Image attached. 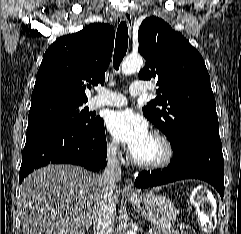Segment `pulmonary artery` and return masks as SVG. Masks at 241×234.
Masks as SVG:
<instances>
[{"label":"pulmonary artery","mask_w":241,"mask_h":234,"mask_svg":"<svg viewBox=\"0 0 241 234\" xmlns=\"http://www.w3.org/2000/svg\"><path fill=\"white\" fill-rule=\"evenodd\" d=\"M146 86L141 82H134L129 89L131 96H139L146 92ZM127 104V99L124 95L100 89L99 94L91 99L90 107L97 109L101 107H121Z\"/></svg>","instance_id":"obj_1"}]
</instances>
